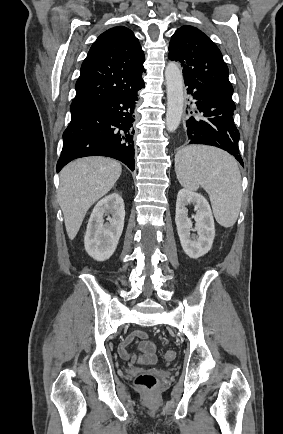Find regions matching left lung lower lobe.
Wrapping results in <instances>:
<instances>
[{"instance_id":"0a47b994","label":"left lung lower lobe","mask_w":283,"mask_h":434,"mask_svg":"<svg viewBox=\"0 0 283 434\" xmlns=\"http://www.w3.org/2000/svg\"><path fill=\"white\" fill-rule=\"evenodd\" d=\"M187 94L196 110L186 120L189 144H205L221 148L243 166L239 154V131L233 121L235 104L232 96L196 79L184 77Z\"/></svg>"}]
</instances>
